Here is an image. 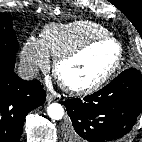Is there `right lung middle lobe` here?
Returning <instances> with one entry per match:
<instances>
[{"label":"right lung middle lobe","instance_id":"obj_1","mask_svg":"<svg viewBox=\"0 0 142 142\" xmlns=\"http://www.w3.org/2000/svg\"><path fill=\"white\" fill-rule=\"evenodd\" d=\"M12 27V17L0 13V56L14 62L19 43Z\"/></svg>","mask_w":142,"mask_h":142}]
</instances>
